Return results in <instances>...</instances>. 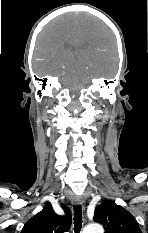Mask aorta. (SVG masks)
Wrapping results in <instances>:
<instances>
[{
    "label": "aorta",
    "instance_id": "aorta-1",
    "mask_svg": "<svg viewBox=\"0 0 148 233\" xmlns=\"http://www.w3.org/2000/svg\"><path fill=\"white\" fill-rule=\"evenodd\" d=\"M83 233H104V229H103L102 225H100L98 223H93V224L87 225L83 229Z\"/></svg>",
    "mask_w": 148,
    "mask_h": 233
}]
</instances>
